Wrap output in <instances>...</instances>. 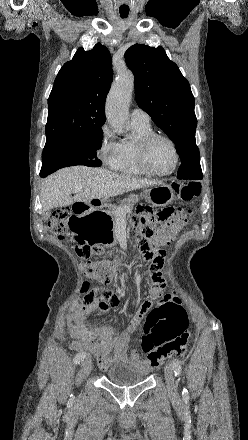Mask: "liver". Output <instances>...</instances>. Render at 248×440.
Returning a JSON list of instances; mask_svg holds the SVG:
<instances>
[{
	"mask_svg": "<svg viewBox=\"0 0 248 440\" xmlns=\"http://www.w3.org/2000/svg\"><path fill=\"white\" fill-rule=\"evenodd\" d=\"M158 184L160 183L156 181L119 175L103 168L73 166L61 169L43 181L41 203L43 211H48L74 202L114 197ZM77 189L80 191H76ZM72 193L74 196H71Z\"/></svg>",
	"mask_w": 248,
	"mask_h": 440,
	"instance_id": "1",
	"label": "liver"
}]
</instances>
